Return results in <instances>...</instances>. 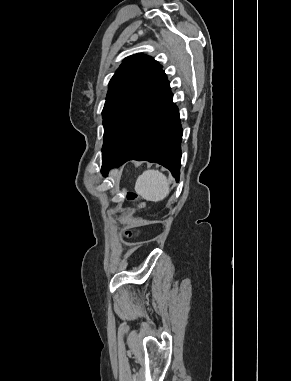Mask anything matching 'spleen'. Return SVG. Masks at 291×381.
I'll return each mask as SVG.
<instances>
[{
	"instance_id": "1",
	"label": "spleen",
	"mask_w": 291,
	"mask_h": 381,
	"mask_svg": "<svg viewBox=\"0 0 291 381\" xmlns=\"http://www.w3.org/2000/svg\"><path fill=\"white\" fill-rule=\"evenodd\" d=\"M135 191L147 201L158 202L169 194V182L160 171L146 170L137 178Z\"/></svg>"
}]
</instances>
